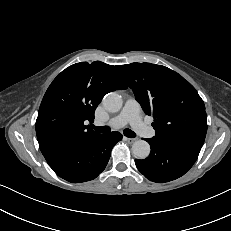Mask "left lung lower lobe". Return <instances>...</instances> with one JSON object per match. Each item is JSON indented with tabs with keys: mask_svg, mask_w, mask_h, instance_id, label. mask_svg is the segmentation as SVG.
<instances>
[{
	"mask_svg": "<svg viewBox=\"0 0 231 231\" xmlns=\"http://www.w3.org/2000/svg\"><path fill=\"white\" fill-rule=\"evenodd\" d=\"M151 146L149 157L135 160L138 170L149 180L164 183L184 175L195 163L202 143L187 139H145Z\"/></svg>",
	"mask_w": 231,
	"mask_h": 231,
	"instance_id": "1",
	"label": "left lung lower lobe"
}]
</instances>
